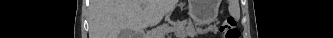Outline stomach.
I'll list each match as a JSON object with an SVG mask.
<instances>
[{
	"label": "stomach",
	"instance_id": "1",
	"mask_svg": "<svg viewBox=\"0 0 333 38\" xmlns=\"http://www.w3.org/2000/svg\"><path fill=\"white\" fill-rule=\"evenodd\" d=\"M189 2H190L189 15H190L191 19L194 22L200 21L202 19V14L196 7L197 1L190 0Z\"/></svg>",
	"mask_w": 333,
	"mask_h": 38
}]
</instances>
